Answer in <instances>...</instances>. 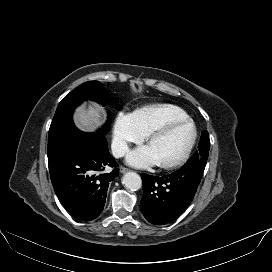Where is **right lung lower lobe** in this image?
<instances>
[{
  "mask_svg": "<svg viewBox=\"0 0 272 272\" xmlns=\"http://www.w3.org/2000/svg\"><path fill=\"white\" fill-rule=\"evenodd\" d=\"M54 190L65 209L78 220H93L103 210L111 180L119 169L101 133L78 129L48 157ZM113 168L107 172V167Z\"/></svg>",
  "mask_w": 272,
  "mask_h": 272,
  "instance_id": "1",
  "label": "right lung lower lobe"
}]
</instances>
